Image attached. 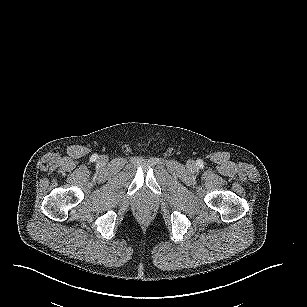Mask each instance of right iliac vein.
I'll use <instances>...</instances> for the list:
<instances>
[{
    "label": "right iliac vein",
    "instance_id": "obj_1",
    "mask_svg": "<svg viewBox=\"0 0 307 307\" xmlns=\"http://www.w3.org/2000/svg\"><path fill=\"white\" fill-rule=\"evenodd\" d=\"M98 163H99L100 165H105V163H106V158H105V156H101V157L99 158V160H98Z\"/></svg>",
    "mask_w": 307,
    "mask_h": 307
}]
</instances>
